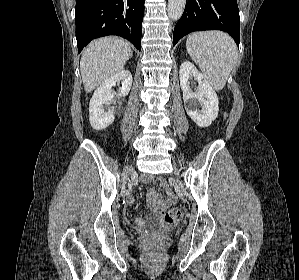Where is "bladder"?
Here are the masks:
<instances>
[{
    "label": "bladder",
    "instance_id": "31cf9c89",
    "mask_svg": "<svg viewBox=\"0 0 299 280\" xmlns=\"http://www.w3.org/2000/svg\"><path fill=\"white\" fill-rule=\"evenodd\" d=\"M152 223H156V221H152Z\"/></svg>",
    "mask_w": 299,
    "mask_h": 280
}]
</instances>
